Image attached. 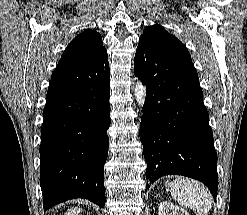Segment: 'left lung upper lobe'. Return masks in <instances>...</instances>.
<instances>
[{"instance_id": "5c2ea615", "label": "left lung upper lobe", "mask_w": 247, "mask_h": 215, "mask_svg": "<svg viewBox=\"0 0 247 215\" xmlns=\"http://www.w3.org/2000/svg\"><path fill=\"white\" fill-rule=\"evenodd\" d=\"M139 42L149 43L162 50L191 58L186 47L175 36L168 33L161 25L147 27Z\"/></svg>"}]
</instances>
